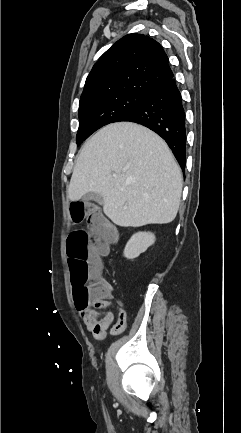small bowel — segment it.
Returning a JSON list of instances; mask_svg holds the SVG:
<instances>
[{
    "instance_id": "small-bowel-1",
    "label": "small bowel",
    "mask_w": 241,
    "mask_h": 433,
    "mask_svg": "<svg viewBox=\"0 0 241 433\" xmlns=\"http://www.w3.org/2000/svg\"><path fill=\"white\" fill-rule=\"evenodd\" d=\"M104 294L97 298L88 306L87 312H80V316L84 321L87 329L93 334L97 340H104L109 331L111 335H118L122 333L127 325L126 311L114 304V289L105 280H101ZM108 307H116L118 310L117 317L111 311H102Z\"/></svg>"
}]
</instances>
